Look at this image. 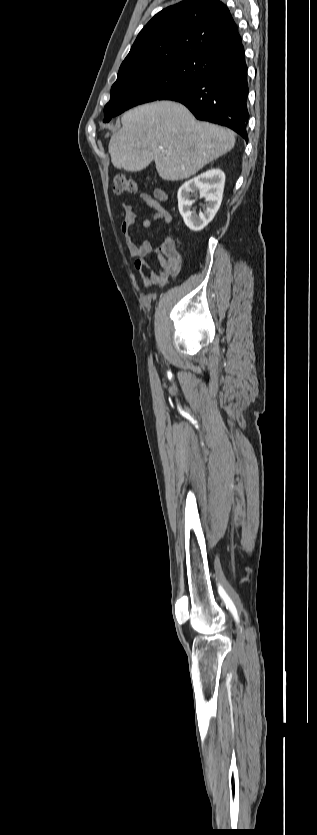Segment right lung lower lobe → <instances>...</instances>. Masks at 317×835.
<instances>
[{"label": "right lung lower lobe", "mask_w": 317, "mask_h": 835, "mask_svg": "<svg viewBox=\"0 0 317 835\" xmlns=\"http://www.w3.org/2000/svg\"><path fill=\"white\" fill-rule=\"evenodd\" d=\"M195 57L202 67V78L159 100L180 102L197 119L229 127L248 142L247 65L240 35L237 32L229 42Z\"/></svg>", "instance_id": "98d812e1"}]
</instances>
